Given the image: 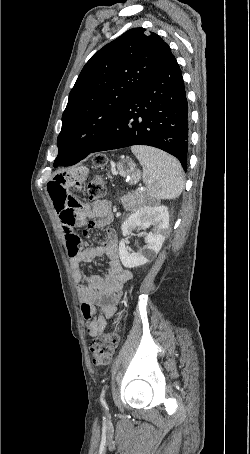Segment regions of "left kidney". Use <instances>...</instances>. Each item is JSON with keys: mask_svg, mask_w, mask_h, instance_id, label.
Segmentation results:
<instances>
[{"mask_svg": "<svg viewBox=\"0 0 250 454\" xmlns=\"http://www.w3.org/2000/svg\"><path fill=\"white\" fill-rule=\"evenodd\" d=\"M153 225V232L146 234L144 248L138 252H131L125 245V241L119 243L120 260L124 267L133 268L144 265L149 259L157 254L165 240V233L169 227V212L166 206L145 205L135 210L123 222L122 235L127 236L133 230L147 229Z\"/></svg>", "mask_w": 250, "mask_h": 454, "instance_id": "obj_1", "label": "left kidney"}]
</instances>
